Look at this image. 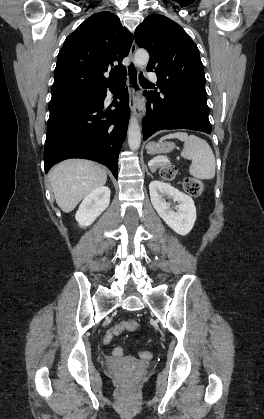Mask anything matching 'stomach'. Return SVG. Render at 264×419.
<instances>
[{
    "label": "stomach",
    "instance_id": "obj_1",
    "mask_svg": "<svg viewBox=\"0 0 264 419\" xmlns=\"http://www.w3.org/2000/svg\"><path fill=\"white\" fill-rule=\"evenodd\" d=\"M146 148L149 154H163L171 152L175 148V144L172 142H150Z\"/></svg>",
    "mask_w": 264,
    "mask_h": 419
}]
</instances>
